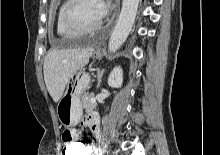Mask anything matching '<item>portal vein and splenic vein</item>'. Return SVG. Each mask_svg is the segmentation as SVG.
<instances>
[{"instance_id": "1", "label": "portal vein and splenic vein", "mask_w": 220, "mask_h": 155, "mask_svg": "<svg viewBox=\"0 0 220 155\" xmlns=\"http://www.w3.org/2000/svg\"><path fill=\"white\" fill-rule=\"evenodd\" d=\"M96 101V99H95V97H93L92 99H91V102H95Z\"/></svg>"}]
</instances>
